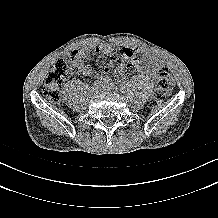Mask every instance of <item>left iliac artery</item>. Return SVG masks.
<instances>
[{
	"instance_id": "obj_1",
	"label": "left iliac artery",
	"mask_w": 218,
	"mask_h": 218,
	"mask_svg": "<svg viewBox=\"0 0 218 218\" xmlns=\"http://www.w3.org/2000/svg\"><path fill=\"white\" fill-rule=\"evenodd\" d=\"M105 82L108 83V84H111V79L110 78H106Z\"/></svg>"
}]
</instances>
